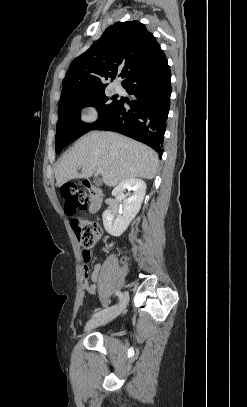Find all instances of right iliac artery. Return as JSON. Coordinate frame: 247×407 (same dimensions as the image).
<instances>
[{"label":"right iliac artery","mask_w":247,"mask_h":407,"mask_svg":"<svg viewBox=\"0 0 247 407\" xmlns=\"http://www.w3.org/2000/svg\"><path fill=\"white\" fill-rule=\"evenodd\" d=\"M115 294L118 296L119 300H122V299H123V293H122L121 291L118 290V291L115 292ZM114 308H115V305H114V306H111V307H109V308H105V309H103V310H100V311L96 312V313L93 315V317L95 318V317H98V316L103 315V314H105V313H108L109 311H111V310L114 309Z\"/></svg>","instance_id":"obj_1"}]
</instances>
